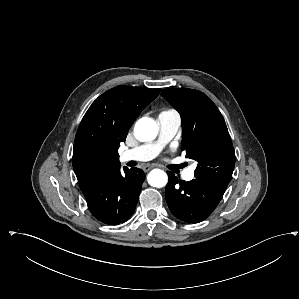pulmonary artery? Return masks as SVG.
<instances>
[{
    "mask_svg": "<svg viewBox=\"0 0 299 299\" xmlns=\"http://www.w3.org/2000/svg\"><path fill=\"white\" fill-rule=\"evenodd\" d=\"M159 138L158 140L137 146L133 149L125 150L121 154V161H148L153 159L178 132L181 125L180 115L173 110L162 111L158 115ZM194 167H189L183 171V179L190 181L194 179Z\"/></svg>",
    "mask_w": 299,
    "mask_h": 299,
    "instance_id": "obj_1",
    "label": "pulmonary artery"
}]
</instances>
